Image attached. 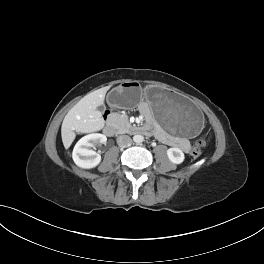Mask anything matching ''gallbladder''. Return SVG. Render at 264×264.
Returning a JSON list of instances; mask_svg holds the SVG:
<instances>
[{"mask_svg":"<svg viewBox=\"0 0 264 264\" xmlns=\"http://www.w3.org/2000/svg\"><path fill=\"white\" fill-rule=\"evenodd\" d=\"M97 110L100 111L101 113L105 112V106L104 105H100L97 107Z\"/></svg>","mask_w":264,"mask_h":264,"instance_id":"bac80fb5","label":"gallbladder"}]
</instances>
